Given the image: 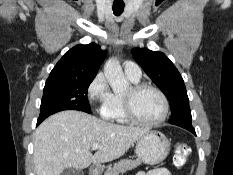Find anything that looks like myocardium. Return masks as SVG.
<instances>
[{
	"instance_id": "f54148a6",
	"label": "myocardium",
	"mask_w": 233,
	"mask_h": 175,
	"mask_svg": "<svg viewBox=\"0 0 233 175\" xmlns=\"http://www.w3.org/2000/svg\"><path fill=\"white\" fill-rule=\"evenodd\" d=\"M131 92L129 94L123 95V109L125 116L127 117L128 121L132 124L142 126V127H155L162 124L168 117L169 113V101L166 94L157 86L148 84V83H137L134 84L131 88ZM153 90L155 91L161 98L163 103V112L162 115L155 121L146 122L140 120L134 112L133 109V96L143 90Z\"/></svg>"
}]
</instances>
